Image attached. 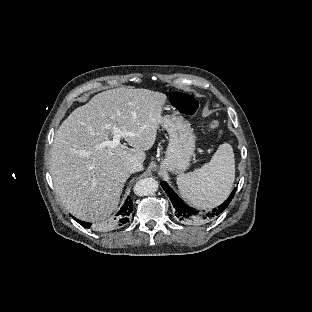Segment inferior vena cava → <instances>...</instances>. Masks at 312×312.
Wrapping results in <instances>:
<instances>
[{
  "label": "inferior vena cava",
  "instance_id": "inferior-vena-cava-1",
  "mask_svg": "<svg viewBox=\"0 0 312 312\" xmlns=\"http://www.w3.org/2000/svg\"><path fill=\"white\" fill-rule=\"evenodd\" d=\"M142 170H143V165L139 161H134L129 164V167H128L129 173L140 172Z\"/></svg>",
  "mask_w": 312,
  "mask_h": 312
}]
</instances>
